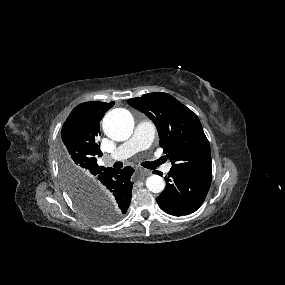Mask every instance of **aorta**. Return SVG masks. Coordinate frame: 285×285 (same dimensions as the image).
Here are the masks:
<instances>
[{
  "mask_svg": "<svg viewBox=\"0 0 285 285\" xmlns=\"http://www.w3.org/2000/svg\"><path fill=\"white\" fill-rule=\"evenodd\" d=\"M133 129V116L126 109H113L103 119L104 133L113 140H127L132 135ZM146 187L153 193H160L165 188L164 179L159 175H151L146 180Z\"/></svg>",
  "mask_w": 285,
  "mask_h": 285,
  "instance_id": "762f6f07",
  "label": "aorta"
}]
</instances>
